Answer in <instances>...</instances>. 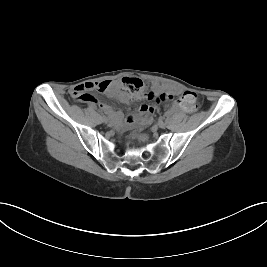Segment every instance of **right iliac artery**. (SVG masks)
<instances>
[{
	"label": "right iliac artery",
	"mask_w": 267,
	"mask_h": 267,
	"mask_svg": "<svg viewBox=\"0 0 267 267\" xmlns=\"http://www.w3.org/2000/svg\"><path fill=\"white\" fill-rule=\"evenodd\" d=\"M99 115H100V117H105V114L102 112V111H99Z\"/></svg>",
	"instance_id": "1"
}]
</instances>
